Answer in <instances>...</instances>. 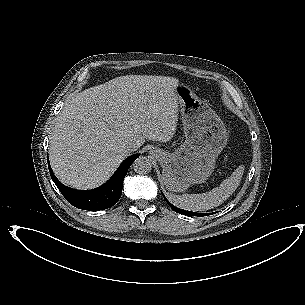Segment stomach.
I'll return each instance as SVG.
<instances>
[{
	"label": "stomach",
	"mask_w": 305,
	"mask_h": 305,
	"mask_svg": "<svg viewBox=\"0 0 305 305\" xmlns=\"http://www.w3.org/2000/svg\"><path fill=\"white\" fill-rule=\"evenodd\" d=\"M172 96L180 105L185 141L175 152L155 149L163 168V183L169 191L183 192L205 182L215 168V160L227 143L222 120L190 87L179 83Z\"/></svg>",
	"instance_id": "1"
}]
</instances>
